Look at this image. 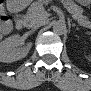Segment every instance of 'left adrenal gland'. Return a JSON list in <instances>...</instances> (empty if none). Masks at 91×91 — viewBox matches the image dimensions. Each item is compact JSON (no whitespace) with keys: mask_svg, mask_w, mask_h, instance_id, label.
Wrapping results in <instances>:
<instances>
[{"mask_svg":"<svg viewBox=\"0 0 91 91\" xmlns=\"http://www.w3.org/2000/svg\"><path fill=\"white\" fill-rule=\"evenodd\" d=\"M73 27H76V30H78V27L75 24H73Z\"/></svg>","mask_w":91,"mask_h":91,"instance_id":"left-adrenal-gland-1","label":"left adrenal gland"}]
</instances>
